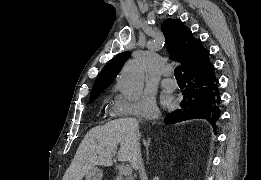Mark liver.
Returning <instances> with one entry per match:
<instances>
[{
    "label": "liver",
    "mask_w": 261,
    "mask_h": 180,
    "mask_svg": "<svg viewBox=\"0 0 261 180\" xmlns=\"http://www.w3.org/2000/svg\"><path fill=\"white\" fill-rule=\"evenodd\" d=\"M139 124L136 118H119L89 130L70 166L69 180H83L94 166H112L118 146L119 162H130L132 168H135L132 162L136 160L140 148Z\"/></svg>",
    "instance_id": "obj_1"
}]
</instances>
